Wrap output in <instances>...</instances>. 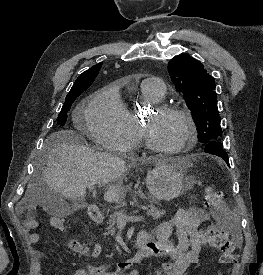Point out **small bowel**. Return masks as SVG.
<instances>
[{
    "mask_svg": "<svg viewBox=\"0 0 263 275\" xmlns=\"http://www.w3.org/2000/svg\"><path fill=\"white\" fill-rule=\"evenodd\" d=\"M55 220H59L58 230H61L64 227L63 221L60 218H53L51 221L53 227ZM209 220L210 216L203 208L179 209L170 220L157 225L152 233L142 231L148 238L150 256L167 259L155 271L154 275H183L191 265L198 263L204 244L200 226ZM26 224L29 228L37 226V222L34 220H27ZM152 234L155 236V240L152 239ZM172 235H175L176 243L172 242ZM38 240L39 235L31 233V241L37 242ZM67 245L79 256L95 258L102 252V245L98 242L90 247L76 239H70ZM39 275L42 274L39 273ZM71 275H138V272L135 269L124 272L120 267L111 269L109 265L87 264L84 269H78Z\"/></svg>",
    "mask_w": 263,
    "mask_h": 275,
    "instance_id": "1",
    "label": "small bowel"
}]
</instances>
